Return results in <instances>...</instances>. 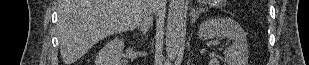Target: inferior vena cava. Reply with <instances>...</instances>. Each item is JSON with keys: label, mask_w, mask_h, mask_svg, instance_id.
I'll list each match as a JSON object with an SVG mask.
<instances>
[{"label": "inferior vena cava", "mask_w": 309, "mask_h": 65, "mask_svg": "<svg viewBox=\"0 0 309 65\" xmlns=\"http://www.w3.org/2000/svg\"><path fill=\"white\" fill-rule=\"evenodd\" d=\"M162 7V2L159 0H150L147 8L141 14L139 27L143 35H145L153 24V12Z\"/></svg>", "instance_id": "602c4592"}]
</instances>
